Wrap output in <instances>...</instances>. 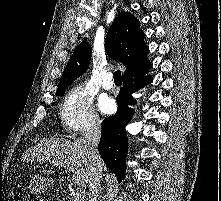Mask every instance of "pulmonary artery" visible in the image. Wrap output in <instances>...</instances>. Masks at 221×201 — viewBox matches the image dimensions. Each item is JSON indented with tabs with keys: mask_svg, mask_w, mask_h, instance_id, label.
<instances>
[{
	"mask_svg": "<svg viewBox=\"0 0 221 201\" xmlns=\"http://www.w3.org/2000/svg\"><path fill=\"white\" fill-rule=\"evenodd\" d=\"M102 86L104 89H111L113 87V81H112V74L111 73H107L104 76V79L102 81Z\"/></svg>",
	"mask_w": 221,
	"mask_h": 201,
	"instance_id": "obj_1",
	"label": "pulmonary artery"
}]
</instances>
